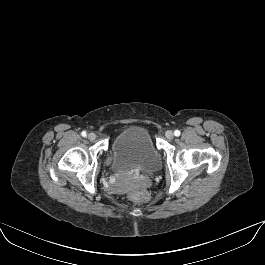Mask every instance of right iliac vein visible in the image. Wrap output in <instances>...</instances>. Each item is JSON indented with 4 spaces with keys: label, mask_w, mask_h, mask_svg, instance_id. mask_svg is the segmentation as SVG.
<instances>
[{
    "label": "right iliac vein",
    "mask_w": 265,
    "mask_h": 265,
    "mask_svg": "<svg viewBox=\"0 0 265 265\" xmlns=\"http://www.w3.org/2000/svg\"><path fill=\"white\" fill-rule=\"evenodd\" d=\"M87 138L90 140V141H94L96 139V134L91 132L88 134Z\"/></svg>",
    "instance_id": "obj_1"
}]
</instances>
